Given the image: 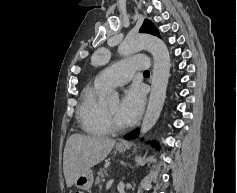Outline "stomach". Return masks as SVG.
Listing matches in <instances>:
<instances>
[{
    "label": "stomach",
    "mask_w": 237,
    "mask_h": 193,
    "mask_svg": "<svg viewBox=\"0 0 237 193\" xmlns=\"http://www.w3.org/2000/svg\"><path fill=\"white\" fill-rule=\"evenodd\" d=\"M116 150L118 152H124L126 150V147L123 145H116ZM75 186L82 190H89L93 184V172L92 170L86 169L84 170L76 179Z\"/></svg>",
    "instance_id": "1"
}]
</instances>
